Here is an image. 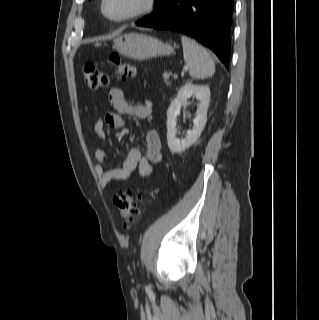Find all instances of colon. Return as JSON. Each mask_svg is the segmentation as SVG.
Instances as JSON below:
<instances>
[{"label":"colon","mask_w":319,"mask_h":320,"mask_svg":"<svg viewBox=\"0 0 319 320\" xmlns=\"http://www.w3.org/2000/svg\"><path fill=\"white\" fill-rule=\"evenodd\" d=\"M109 62L116 66L117 75L123 80L132 79L137 74L136 67L129 63H122L117 53L109 55ZM82 72L89 89L96 90L109 83L108 75L94 63L85 62L82 65ZM142 200L141 195H136L132 191H122L114 196V205L125 225L131 226L137 222Z\"/></svg>","instance_id":"5ec220e1"}]
</instances>
